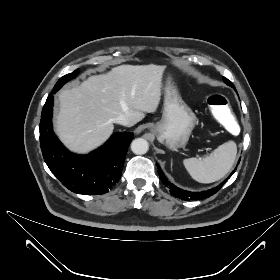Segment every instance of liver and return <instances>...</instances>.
Listing matches in <instances>:
<instances>
[{
	"label": "liver",
	"mask_w": 280,
	"mask_h": 280,
	"mask_svg": "<svg viewBox=\"0 0 280 280\" xmlns=\"http://www.w3.org/2000/svg\"><path fill=\"white\" fill-rule=\"evenodd\" d=\"M165 66L121 65L93 75L59 94L56 132L73 152L87 153L104 143L114 118L125 115L130 126L154 113L161 99Z\"/></svg>",
	"instance_id": "liver-1"
}]
</instances>
